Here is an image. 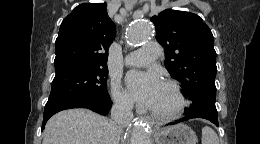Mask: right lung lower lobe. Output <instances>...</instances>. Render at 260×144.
Returning <instances> with one entry per match:
<instances>
[{
  "mask_svg": "<svg viewBox=\"0 0 260 144\" xmlns=\"http://www.w3.org/2000/svg\"><path fill=\"white\" fill-rule=\"evenodd\" d=\"M112 107V101L110 97L101 98L90 102H63L45 106L44 119L42 129L46 124V121L55 113L71 108H87L101 115H106Z\"/></svg>",
  "mask_w": 260,
  "mask_h": 144,
  "instance_id": "right-lung-lower-lobe-1",
  "label": "right lung lower lobe"
}]
</instances>
